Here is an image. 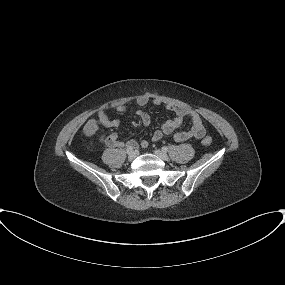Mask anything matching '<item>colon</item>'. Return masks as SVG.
<instances>
[{"label": "colon", "mask_w": 285, "mask_h": 285, "mask_svg": "<svg viewBox=\"0 0 285 285\" xmlns=\"http://www.w3.org/2000/svg\"><path fill=\"white\" fill-rule=\"evenodd\" d=\"M202 142H203L204 145H209V144H211L212 139L210 137H206V138L203 139Z\"/></svg>", "instance_id": "obj_1"}]
</instances>
